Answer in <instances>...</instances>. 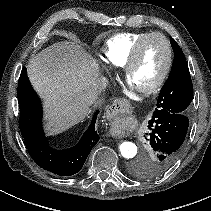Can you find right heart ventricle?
Segmentation results:
<instances>
[{
    "instance_id": "obj_1",
    "label": "right heart ventricle",
    "mask_w": 211,
    "mask_h": 211,
    "mask_svg": "<svg viewBox=\"0 0 211 211\" xmlns=\"http://www.w3.org/2000/svg\"><path fill=\"white\" fill-rule=\"evenodd\" d=\"M146 33L148 32H125L112 36L102 50L104 61L112 67H124L134 45Z\"/></svg>"
}]
</instances>
